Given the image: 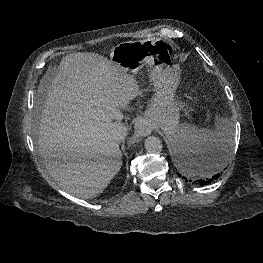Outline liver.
Listing matches in <instances>:
<instances>
[{
  "label": "liver",
  "instance_id": "obj_1",
  "mask_svg": "<svg viewBox=\"0 0 263 263\" xmlns=\"http://www.w3.org/2000/svg\"><path fill=\"white\" fill-rule=\"evenodd\" d=\"M46 88L38 128V151L46 169L66 192L90 198L103 192L122 165L112 123L120 108L139 95L127 70L90 52L65 56Z\"/></svg>",
  "mask_w": 263,
  "mask_h": 263
}]
</instances>
